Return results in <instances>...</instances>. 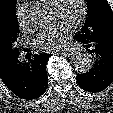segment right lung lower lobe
<instances>
[{
  "label": "right lung lower lobe",
  "mask_w": 113,
  "mask_h": 113,
  "mask_svg": "<svg viewBox=\"0 0 113 113\" xmlns=\"http://www.w3.org/2000/svg\"><path fill=\"white\" fill-rule=\"evenodd\" d=\"M50 56L51 54H35L24 63L15 57L1 79L19 98L37 99L48 86L46 63Z\"/></svg>",
  "instance_id": "obj_1"
}]
</instances>
